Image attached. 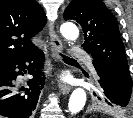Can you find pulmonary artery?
Instances as JSON below:
<instances>
[{"label":"pulmonary artery","instance_id":"e3ab8cb5","mask_svg":"<svg viewBox=\"0 0 133 118\" xmlns=\"http://www.w3.org/2000/svg\"><path fill=\"white\" fill-rule=\"evenodd\" d=\"M71 54L75 57V58H78V59H84L86 60V62L88 64H90L92 66V59L90 56H88L85 52H83L82 50H80L79 48L77 47H73L71 48Z\"/></svg>","mask_w":133,"mask_h":118}]
</instances>
